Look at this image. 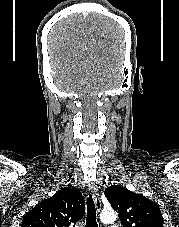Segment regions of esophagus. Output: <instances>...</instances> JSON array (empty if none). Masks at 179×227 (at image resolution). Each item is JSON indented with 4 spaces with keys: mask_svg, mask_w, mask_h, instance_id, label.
Here are the masks:
<instances>
[{
    "mask_svg": "<svg viewBox=\"0 0 179 227\" xmlns=\"http://www.w3.org/2000/svg\"><path fill=\"white\" fill-rule=\"evenodd\" d=\"M92 195H93V199H94V202H95L97 212H100L102 204H101V200H100V197H99L98 189L95 185L92 186Z\"/></svg>",
    "mask_w": 179,
    "mask_h": 227,
    "instance_id": "esophagus-1",
    "label": "esophagus"
}]
</instances>
